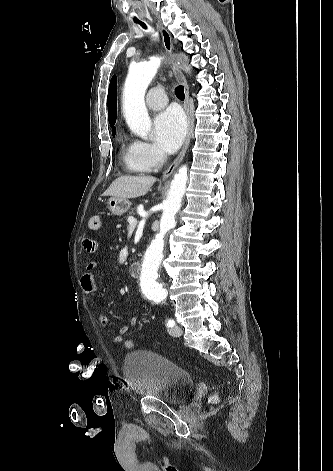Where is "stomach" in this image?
<instances>
[{
  "label": "stomach",
  "instance_id": "1",
  "mask_svg": "<svg viewBox=\"0 0 333 471\" xmlns=\"http://www.w3.org/2000/svg\"><path fill=\"white\" fill-rule=\"evenodd\" d=\"M107 206L112 214L121 216L130 208L131 202L126 198L111 197L107 202Z\"/></svg>",
  "mask_w": 333,
  "mask_h": 471
}]
</instances>
